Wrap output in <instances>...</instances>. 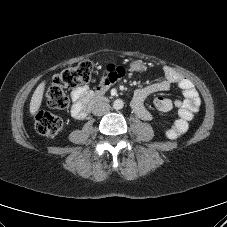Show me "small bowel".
<instances>
[{"instance_id":"1","label":"small bowel","mask_w":227,"mask_h":227,"mask_svg":"<svg viewBox=\"0 0 227 227\" xmlns=\"http://www.w3.org/2000/svg\"><path fill=\"white\" fill-rule=\"evenodd\" d=\"M163 72L165 76L164 80L135 90L131 107L140 119L144 121L151 120L153 115L146 108L145 100L155 93L167 91L171 85L176 84L183 93V99L170 100L168 98L157 97L154 100L155 107L159 112L177 111L178 118L165 133L168 139L175 140L187 132L189 124L193 121L195 113L199 109L200 98L194 84L188 78L182 76L170 66H164ZM124 73L123 67L110 64L106 67L104 74L94 90H91L87 85L75 88L71 92V98L73 100L72 116L76 119L84 118V108L87 100L94 94H103Z\"/></svg>"}]
</instances>
